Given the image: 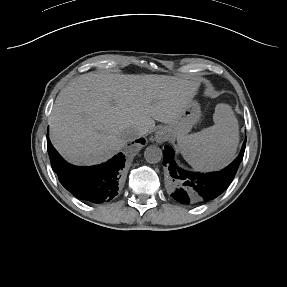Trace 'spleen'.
Segmentation results:
<instances>
[{"label": "spleen", "mask_w": 287, "mask_h": 287, "mask_svg": "<svg viewBox=\"0 0 287 287\" xmlns=\"http://www.w3.org/2000/svg\"><path fill=\"white\" fill-rule=\"evenodd\" d=\"M213 121V126L177 139L183 158L197 170H220L236 156L239 125L231 107L218 104Z\"/></svg>", "instance_id": "3e777b00"}]
</instances>
